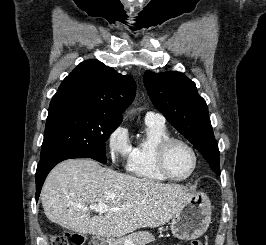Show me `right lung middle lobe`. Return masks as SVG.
I'll use <instances>...</instances> for the list:
<instances>
[{
  "instance_id": "1",
  "label": "right lung middle lobe",
  "mask_w": 266,
  "mask_h": 245,
  "mask_svg": "<svg viewBox=\"0 0 266 245\" xmlns=\"http://www.w3.org/2000/svg\"><path fill=\"white\" fill-rule=\"evenodd\" d=\"M122 118L93 110H71L48 116L40 160L73 153L106 163L105 142Z\"/></svg>"
}]
</instances>
